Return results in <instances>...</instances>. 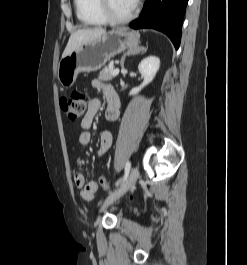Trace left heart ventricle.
<instances>
[{"mask_svg":"<svg viewBox=\"0 0 247 265\" xmlns=\"http://www.w3.org/2000/svg\"><path fill=\"white\" fill-rule=\"evenodd\" d=\"M109 4L116 15L126 16L132 11L135 3L132 0H109Z\"/></svg>","mask_w":247,"mask_h":265,"instance_id":"left-heart-ventricle-1","label":"left heart ventricle"}]
</instances>
